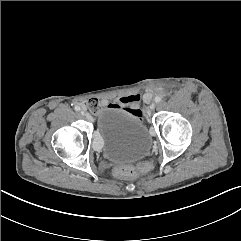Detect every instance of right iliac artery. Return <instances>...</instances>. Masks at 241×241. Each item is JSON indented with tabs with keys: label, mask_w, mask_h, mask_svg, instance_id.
Instances as JSON below:
<instances>
[{
	"label": "right iliac artery",
	"mask_w": 241,
	"mask_h": 241,
	"mask_svg": "<svg viewBox=\"0 0 241 241\" xmlns=\"http://www.w3.org/2000/svg\"><path fill=\"white\" fill-rule=\"evenodd\" d=\"M75 111H80V107L79 106H75Z\"/></svg>",
	"instance_id": "1"
}]
</instances>
